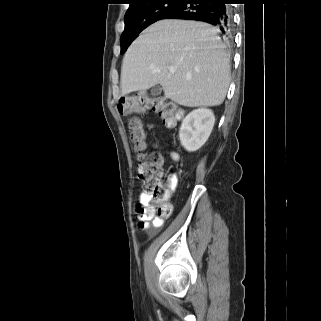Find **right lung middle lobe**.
Here are the masks:
<instances>
[{"instance_id":"1","label":"right lung middle lobe","mask_w":321,"mask_h":321,"mask_svg":"<svg viewBox=\"0 0 321 321\" xmlns=\"http://www.w3.org/2000/svg\"><path fill=\"white\" fill-rule=\"evenodd\" d=\"M180 0H152L129 8L125 14V28L120 38L121 54L146 27L179 4Z\"/></svg>"}]
</instances>
